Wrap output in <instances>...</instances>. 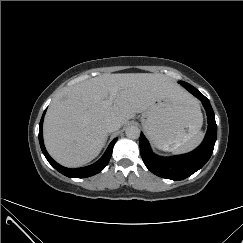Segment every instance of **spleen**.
Segmentation results:
<instances>
[{
	"label": "spleen",
	"instance_id": "obj_1",
	"mask_svg": "<svg viewBox=\"0 0 243 243\" xmlns=\"http://www.w3.org/2000/svg\"><path fill=\"white\" fill-rule=\"evenodd\" d=\"M204 134L202 132H197L192 138L183 144H178L172 147L171 151L176 154L187 153L195 149L203 140Z\"/></svg>",
	"mask_w": 243,
	"mask_h": 243
}]
</instances>
